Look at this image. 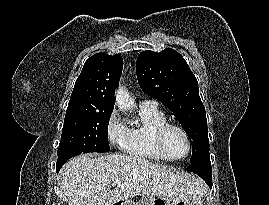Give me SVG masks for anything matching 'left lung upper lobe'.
Instances as JSON below:
<instances>
[{
  "label": "left lung upper lobe",
  "instance_id": "5c2ea615",
  "mask_svg": "<svg viewBox=\"0 0 269 205\" xmlns=\"http://www.w3.org/2000/svg\"><path fill=\"white\" fill-rule=\"evenodd\" d=\"M141 89L169 108L192 141L190 164L209 155L206 112L198 82L186 60L174 49L143 51L136 64Z\"/></svg>",
  "mask_w": 269,
  "mask_h": 205
}]
</instances>
